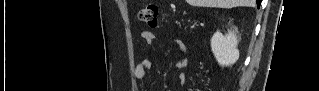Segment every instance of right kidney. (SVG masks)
<instances>
[{
    "mask_svg": "<svg viewBox=\"0 0 319 91\" xmlns=\"http://www.w3.org/2000/svg\"><path fill=\"white\" fill-rule=\"evenodd\" d=\"M236 32L237 29H230L228 33L223 35L217 31L211 39L212 52L221 66H231L239 58Z\"/></svg>",
    "mask_w": 319,
    "mask_h": 91,
    "instance_id": "1",
    "label": "right kidney"
}]
</instances>
